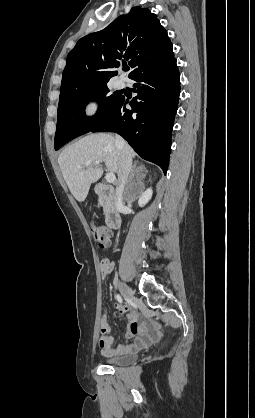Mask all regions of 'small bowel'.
Instances as JSON below:
<instances>
[{"mask_svg":"<svg viewBox=\"0 0 255 418\" xmlns=\"http://www.w3.org/2000/svg\"><path fill=\"white\" fill-rule=\"evenodd\" d=\"M99 269L101 275L104 277L111 273L113 263L109 259L104 258L99 263ZM115 307L119 310L120 315L126 316L128 320L126 336L128 339H132V341L114 346V338L110 335L108 319L106 313H104L101 319L98 341L102 355L111 357L130 353L141 349L150 341L160 336V330L155 326L146 324L143 316L139 312L127 308L120 302H117Z\"/></svg>","mask_w":255,"mask_h":418,"instance_id":"small-bowel-1","label":"small bowel"}]
</instances>
